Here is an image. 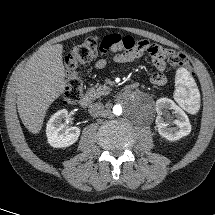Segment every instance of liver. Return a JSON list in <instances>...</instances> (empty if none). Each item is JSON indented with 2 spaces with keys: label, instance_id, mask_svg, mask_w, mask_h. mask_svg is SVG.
<instances>
[{
  "label": "liver",
  "instance_id": "obj_1",
  "mask_svg": "<svg viewBox=\"0 0 215 215\" xmlns=\"http://www.w3.org/2000/svg\"><path fill=\"white\" fill-rule=\"evenodd\" d=\"M62 51L61 44L41 48L14 76L18 113L33 134L40 132L49 106L64 93Z\"/></svg>",
  "mask_w": 215,
  "mask_h": 215
}]
</instances>
